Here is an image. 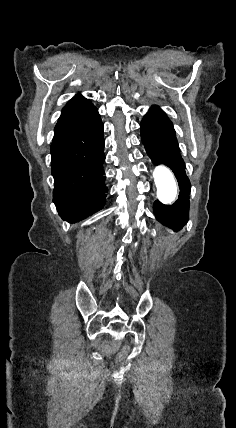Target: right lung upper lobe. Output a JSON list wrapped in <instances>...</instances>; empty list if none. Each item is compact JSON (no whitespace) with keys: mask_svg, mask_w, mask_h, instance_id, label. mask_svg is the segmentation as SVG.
Segmentation results:
<instances>
[{"mask_svg":"<svg viewBox=\"0 0 236 428\" xmlns=\"http://www.w3.org/2000/svg\"><path fill=\"white\" fill-rule=\"evenodd\" d=\"M90 105H93V104L89 99H86L81 95H76L67 103V105L63 108V110L82 108Z\"/></svg>","mask_w":236,"mask_h":428,"instance_id":"1","label":"right lung upper lobe"}]
</instances>
